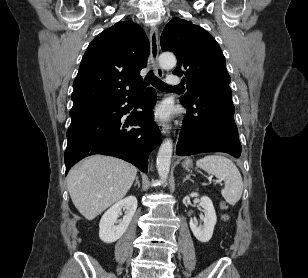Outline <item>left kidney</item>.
<instances>
[{"label": "left kidney", "mask_w": 308, "mask_h": 278, "mask_svg": "<svg viewBox=\"0 0 308 278\" xmlns=\"http://www.w3.org/2000/svg\"><path fill=\"white\" fill-rule=\"evenodd\" d=\"M190 196L198 197L199 195L198 193H191ZM200 206L204 209L205 214L203 225L197 226L192 219L190 220L189 225L196 239L202 243H206L213 235L217 217L213 203L209 197H201Z\"/></svg>", "instance_id": "left-kidney-1"}]
</instances>
